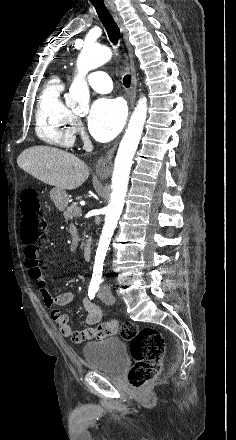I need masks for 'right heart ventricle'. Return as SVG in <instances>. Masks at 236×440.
<instances>
[{
  "mask_svg": "<svg viewBox=\"0 0 236 440\" xmlns=\"http://www.w3.org/2000/svg\"><path fill=\"white\" fill-rule=\"evenodd\" d=\"M64 84L51 77L44 85L36 107V133L44 142L69 148L75 140V117L62 99Z\"/></svg>",
  "mask_w": 236,
  "mask_h": 440,
  "instance_id": "obj_1",
  "label": "right heart ventricle"
}]
</instances>
